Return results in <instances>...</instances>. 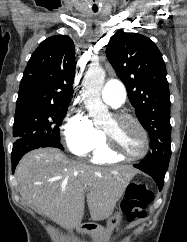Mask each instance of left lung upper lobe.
<instances>
[{
    "instance_id": "left-lung-upper-lobe-1",
    "label": "left lung upper lobe",
    "mask_w": 187,
    "mask_h": 242,
    "mask_svg": "<svg viewBox=\"0 0 187 242\" xmlns=\"http://www.w3.org/2000/svg\"><path fill=\"white\" fill-rule=\"evenodd\" d=\"M106 55L125 84L151 150L140 163L169 165L171 157L170 94L165 62L153 41L137 33H115Z\"/></svg>"
}]
</instances>
